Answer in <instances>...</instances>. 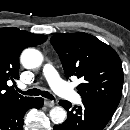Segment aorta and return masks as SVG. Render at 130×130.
Wrapping results in <instances>:
<instances>
[{"mask_svg":"<svg viewBox=\"0 0 130 130\" xmlns=\"http://www.w3.org/2000/svg\"><path fill=\"white\" fill-rule=\"evenodd\" d=\"M20 61L26 69H34L41 66L43 62V56L40 51L33 48H28L22 52ZM66 116V111L62 107L58 106L50 110V118L56 124L63 123L66 119Z\"/></svg>","mask_w":130,"mask_h":130,"instance_id":"aorta-1","label":"aorta"}]
</instances>
